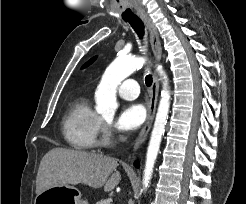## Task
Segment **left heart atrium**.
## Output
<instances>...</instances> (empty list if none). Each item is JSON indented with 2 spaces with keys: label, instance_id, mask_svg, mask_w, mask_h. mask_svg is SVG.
Returning <instances> with one entry per match:
<instances>
[{
  "label": "left heart atrium",
  "instance_id": "39dd6f15",
  "mask_svg": "<svg viewBox=\"0 0 246 204\" xmlns=\"http://www.w3.org/2000/svg\"><path fill=\"white\" fill-rule=\"evenodd\" d=\"M146 118V109L142 104H130L121 110L115 128L119 131H132L139 128Z\"/></svg>",
  "mask_w": 246,
  "mask_h": 204
}]
</instances>
